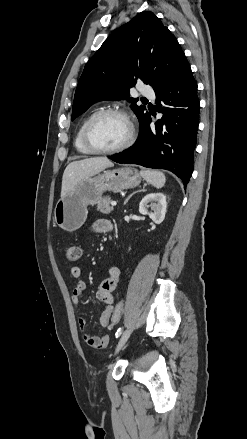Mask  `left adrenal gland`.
Listing matches in <instances>:
<instances>
[{"instance_id":"left-adrenal-gland-1","label":"left adrenal gland","mask_w":247,"mask_h":439,"mask_svg":"<svg viewBox=\"0 0 247 439\" xmlns=\"http://www.w3.org/2000/svg\"><path fill=\"white\" fill-rule=\"evenodd\" d=\"M144 191H146L145 188L133 192L130 196H128V198H126V200H125V202H124V205L128 202V200H129L134 194L139 193V192H144Z\"/></svg>"}]
</instances>
